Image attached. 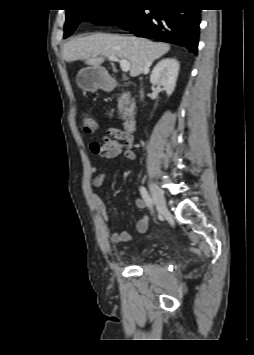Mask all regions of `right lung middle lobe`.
<instances>
[{
    "instance_id": "1",
    "label": "right lung middle lobe",
    "mask_w": 254,
    "mask_h": 355,
    "mask_svg": "<svg viewBox=\"0 0 254 355\" xmlns=\"http://www.w3.org/2000/svg\"><path fill=\"white\" fill-rule=\"evenodd\" d=\"M141 1L143 0H125L123 5L115 7L67 10L64 38L70 36L78 24L85 19L98 25H113Z\"/></svg>"
}]
</instances>
